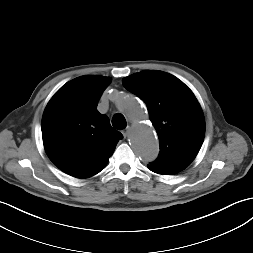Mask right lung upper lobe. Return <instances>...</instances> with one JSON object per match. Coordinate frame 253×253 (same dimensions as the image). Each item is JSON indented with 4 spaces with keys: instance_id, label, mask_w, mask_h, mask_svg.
<instances>
[{
    "instance_id": "right-lung-upper-lobe-1",
    "label": "right lung upper lobe",
    "mask_w": 253,
    "mask_h": 253,
    "mask_svg": "<svg viewBox=\"0 0 253 253\" xmlns=\"http://www.w3.org/2000/svg\"><path fill=\"white\" fill-rule=\"evenodd\" d=\"M111 78L86 75L62 86L42 118V137L50 160L63 172L88 178L109 161L123 135L113 129L98 101Z\"/></svg>"
}]
</instances>
